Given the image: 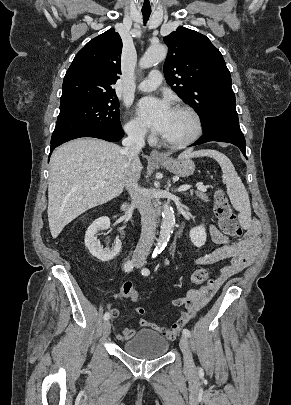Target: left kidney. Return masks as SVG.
<instances>
[{"instance_id": "left-kidney-1", "label": "left kidney", "mask_w": 291, "mask_h": 405, "mask_svg": "<svg viewBox=\"0 0 291 405\" xmlns=\"http://www.w3.org/2000/svg\"><path fill=\"white\" fill-rule=\"evenodd\" d=\"M206 237L207 234L204 225H199L190 230L191 242L196 247H202L206 242Z\"/></svg>"}]
</instances>
